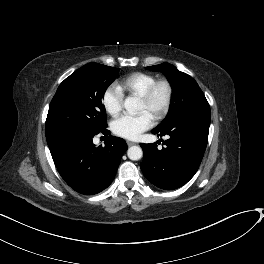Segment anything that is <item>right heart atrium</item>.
<instances>
[{"label": "right heart atrium", "mask_w": 264, "mask_h": 264, "mask_svg": "<svg viewBox=\"0 0 264 264\" xmlns=\"http://www.w3.org/2000/svg\"><path fill=\"white\" fill-rule=\"evenodd\" d=\"M123 102L124 95L119 87L110 86L104 91L102 103L105 110L111 116H117L121 112L123 108Z\"/></svg>", "instance_id": "d8ad5b80"}]
</instances>
